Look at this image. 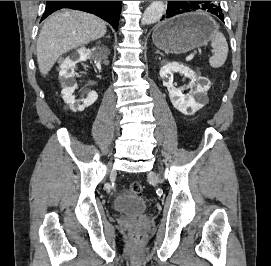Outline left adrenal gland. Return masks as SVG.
<instances>
[{
	"label": "left adrenal gland",
	"instance_id": "a2214340",
	"mask_svg": "<svg viewBox=\"0 0 271 266\" xmlns=\"http://www.w3.org/2000/svg\"><path fill=\"white\" fill-rule=\"evenodd\" d=\"M155 53H158V54L162 55V53L160 51H158V50Z\"/></svg>",
	"mask_w": 271,
	"mask_h": 266
}]
</instances>
